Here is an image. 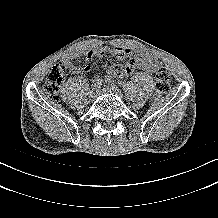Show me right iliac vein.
Listing matches in <instances>:
<instances>
[{
	"instance_id": "1",
	"label": "right iliac vein",
	"mask_w": 218,
	"mask_h": 218,
	"mask_svg": "<svg viewBox=\"0 0 218 218\" xmlns=\"http://www.w3.org/2000/svg\"><path fill=\"white\" fill-rule=\"evenodd\" d=\"M98 93H99V90L92 91V92L90 93V97H91L92 99H94V98L97 97Z\"/></svg>"
}]
</instances>
